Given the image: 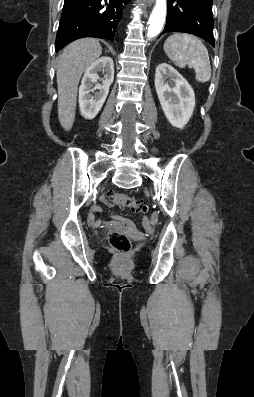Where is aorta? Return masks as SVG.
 Returning a JSON list of instances; mask_svg holds the SVG:
<instances>
[{
	"instance_id": "762f6f07",
	"label": "aorta",
	"mask_w": 254,
	"mask_h": 397,
	"mask_svg": "<svg viewBox=\"0 0 254 397\" xmlns=\"http://www.w3.org/2000/svg\"><path fill=\"white\" fill-rule=\"evenodd\" d=\"M166 17V0H156V5L149 18L148 38L157 36L165 22Z\"/></svg>"
}]
</instances>
